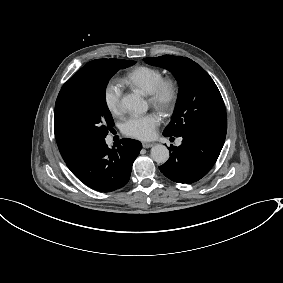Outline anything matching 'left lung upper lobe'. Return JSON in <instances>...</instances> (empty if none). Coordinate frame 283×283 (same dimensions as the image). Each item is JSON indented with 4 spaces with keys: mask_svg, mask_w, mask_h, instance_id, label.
I'll list each match as a JSON object with an SVG mask.
<instances>
[{
    "mask_svg": "<svg viewBox=\"0 0 283 283\" xmlns=\"http://www.w3.org/2000/svg\"><path fill=\"white\" fill-rule=\"evenodd\" d=\"M144 61L168 69L179 83L177 103L164 136L179 137L187 133L226 136L227 116L222 96L200 65L172 55L144 58Z\"/></svg>",
    "mask_w": 283,
    "mask_h": 283,
    "instance_id": "obj_1",
    "label": "left lung upper lobe"
}]
</instances>
